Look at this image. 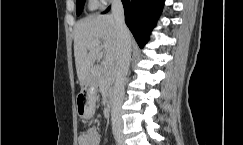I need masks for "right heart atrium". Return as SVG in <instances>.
Returning a JSON list of instances; mask_svg holds the SVG:
<instances>
[{"label":"right heart atrium","instance_id":"1","mask_svg":"<svg viewBox=\"0 0 243 145\" xmlns=\"http://www.w3.org/2000/svg\"><path fill=\"white\" fill-rule=\"evenodd\" d=\"M102 4H106L107 2L111 1V0H99Z\"/></svg>","mask_w":243,"mask_h":145}]
</instances>
